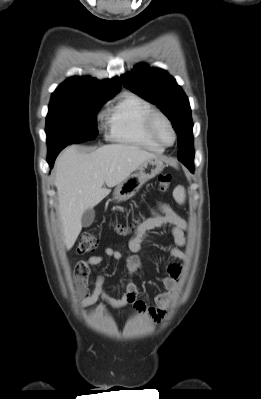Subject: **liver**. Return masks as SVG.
<instances>
[{
  "instance_id": "obj_1",
  "label": "liver",
  "mask_w": 261,
  "mask_h": 399,
  "mask_svg": "<svg viewBox=\"0 0 261 399\" xmlns=\"http://www.w3.org/2000/svg\"><path fill=\"white\" fill-rule=\"evenodd\" d=\"M158 158L138 146L110 144L90 153L70 146L56 160L55 186L64 243L70 250L82 230L85 210L99 204L114 187L148 159ZM106 184L108 188L103 187Z\"/></svg>"
}]
</instances>
